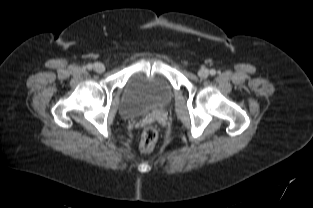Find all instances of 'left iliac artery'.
<instances>
[{
  "instance_id": "1",
  "label": "left iliac artery",
  "mask_w": 313,
  "mask_h": 208,
  "mask_svg": "<svg viewBox=\"0 0 313 208\" xmlns=\"http://www.w3.org/2000/svg\"><path fill=\"white\" fill-rule=\"evenodd\" d=\"M215 73H216V71H215V70H213V69H212V70H210V74H211V75H215Z\"/></svg>"
}]
</instances>
